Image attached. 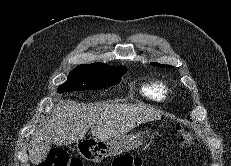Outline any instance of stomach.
I'll list each match as a JSON object with an SVG mask.
<instances>
[{
    "label": "stomach",
    "instance_id": "obj_1",
    "mask_svg": "<svg viewBox=\"0 0 231 166\" xmlns=\"http://www.w3.org/2000/svg\"><path fill=\"white\" fill-rule=\"evenodd\" d=\"M140 134L124 135L112 140L89 139L76 144L78 153L87 160L99 161L106 156H114L142 145Z\"/></svg>",
    "mask_w": 231,
    "mask_h": 166
}]
</instances>
